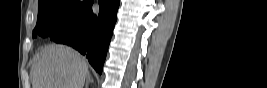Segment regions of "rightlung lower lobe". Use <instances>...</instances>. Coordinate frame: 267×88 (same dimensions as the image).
I'll return each instance as SVG.
<instances>
[{
	"label": "right lung lower lobe",
	"mask_w": 267,
	"mask_h": 88,
	"mask_svg": "<svg viewBox=\"0 0 267 88\" xmlns=\"http://www.w3.org/2000/svg\"><path fill=\"white\" fill-rule=\"evenodd\" d=\"M119 2L120 0H99L98 15L92 11V2L73 25L51 37V40L72 46L86 55L89 63L101 74L117 20Z\"/></svg>",
	"instance_id": "right-lung-lower-lobe-1"
}]
</instances>
